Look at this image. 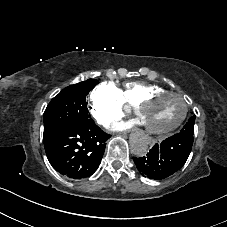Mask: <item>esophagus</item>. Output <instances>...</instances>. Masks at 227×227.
<instances>
[{
    "label": "esophagus",
    "instance_id": "esophagus-1",
    "mask_svg": "<svg viewBox=\"0 0 227 227\" xmlns=\"http://www.w3.org/2000/svg\"><path fill=\"white\" fill-rule=\"evenodd\" d=\"M155 145H156V140L155 139H150L149 142L147 143V148L148 149H153Z\"/></svg>",
    "mask_w": 227,
    "mask_h": 227
}]
</instances>
